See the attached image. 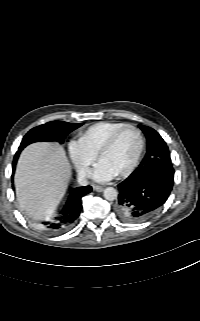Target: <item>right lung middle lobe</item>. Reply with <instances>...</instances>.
<instances>
[{
    "label": "right lung middle lobe",
    "instance_id": "1",
    "mask_svg": "<svg viewBox=\"0 0 200 321\" xmlns=\"http://www.w3.org/2000/svg\"><path fill=\"white\" fill-rule=\"evenodd\" d=\"M83 123H68L64 121H51L31 129L22 139L18 152L34 142H59L62 144L66 136Z\"/></svg>",
    "mask_w": 200,
    "mask_h": 321
}]
</instances>
